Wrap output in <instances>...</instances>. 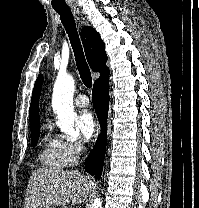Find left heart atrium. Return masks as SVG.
<instances>
[{"mask_svg": "<svg viewBox=\"0 0 199 208\" xmlns=\"http://www.w3.org/2000/svg\"><path fill=\"white\" fill-rule=\"evenodd\" d=\"M76 124L84 141H89L95 134L96 122L90 111H81L76 118Z\"/></svg>", "mask_w": 199, "mask_h": 208, "instance_id": "left-heart-atrium-1", "label": "left heart atrium"}]
</instances>
